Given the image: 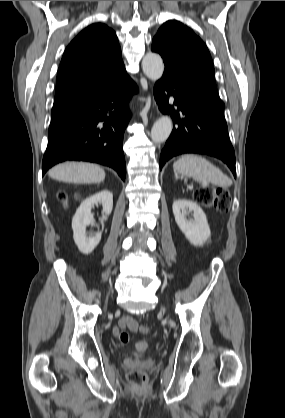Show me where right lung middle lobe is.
Listing matches in <instances>:
<instances>
[{
	"label": "right lung middle lobe",
	"mask_w": 285,
	"mask_h": 418,
	"mask_svg": "<svg viewBox=\"0 0 285 418\" xmlns=\"http://www.w3.org/2000/svg\"><path fill=\"white\" fill-rule=\"evenodd\" d=\"M66 109H52L51 111V115L52 117L59 115L60 113H62L63 111H65Z\"/></svg>",
	"instance_id": "right-lung-middle-lobe-1"
}]
</instances>
